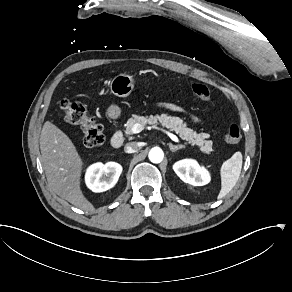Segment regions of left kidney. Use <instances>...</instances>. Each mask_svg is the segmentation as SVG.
Segmentation results:
<instances>
[{"instance_id": "obj_1", "label": "left kidney", "mask_w": 292, "mask_h": 292, "mask_svg": "<svg viewBox=\"0 0 292 292\" xmlns=\"http://www.w3.org/2000/svg\"><path fill=\"white\" fill-rule=\"evenodd\" d=\"M173 170L185 183L193 186H203L210 182V173L201 167L196 160L183 159L173 165Z\"/></svg>"}]
</instances>
